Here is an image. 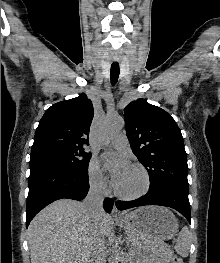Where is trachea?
Segmentation results:
<instances>
[{
  "label": "trachea",
  "instance_id": "3493384b",
  "mask_svg": "<svg viewBox=\"0 0 220 263\" xmlns=\"http://www.w3.org/2000/svg\"><path fill=\"white\" fill-rule=\"evenodd\" d=\"M120 68L118 64H112L110 69L111 84L115 85L119 78Z\"/></svg>",
  "mask_w": 220,
  "mask_h": 263
}]
</instances>
